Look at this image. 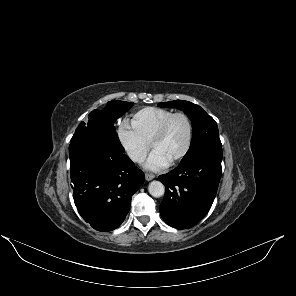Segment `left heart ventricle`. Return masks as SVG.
<instances>
[{
	"label": "left heart ventricle",
	"mask_w": 296,
	"mask_h": 296,
	"mask_svg": "<svg viewBox=\"0 0 296 296\" xmlns=\"http://www.w3.org/2000/svg\"><path fill=\"white\" fill-rule=\"evenodd\" d=\"M188 138V125L183 117H176L169 125L165 136L153 151L158 152L169 163L184 149Z\"/></svg>",
	"instance_id": "b2bd125f"
}]
</instances>
